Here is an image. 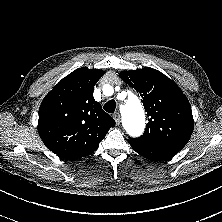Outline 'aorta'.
I'll use <instances>...</instances> for the list:
<instances>
[{"label": "aorta", "instance_id": "762f6f07", "mask_svg": "<svg viewBox=\"0 0 222 222\" xmlns=\"http://www.w3.org/2000/svg\"><path fill=\"white\" fill-rule=\"evenodd\" d=\"M124 127L129 135L140 136L145 128V114L138 100H130L123 109Z\"/></svg>", "mask_w": 222, "mask_h": 222}]
</instances>
